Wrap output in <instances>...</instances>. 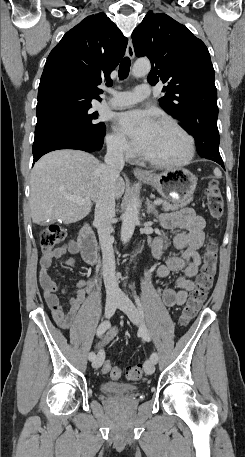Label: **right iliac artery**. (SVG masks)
Wrapping results in <instances>:
<instances>
[{
	"instance_id": "1",
	"label": "right iliac artery",
	"mask_w": 245,
	"mask_h": 457,
	"mask_svg": "<svg viewBox=\"0 0 245 457\" xmlns=\"http://www.w3.org/2000/svg\"><path fill=\"white\" fill-rule=\"evenodd\" d=\"M109 325H110V322H109L108 320L103 321V322L98 326L96 335H97L98 337L102 336V335L106 332V330L108 329ZM95 357H96V355H95L94 352H90V353H89V356H88L89 360L92 361V360L95 359Z\"/></svg>"
}]
</instances>
